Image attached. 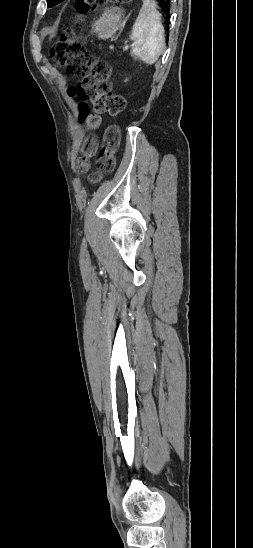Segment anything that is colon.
Here are the masks:
<instances>
[{"label": "colon", "instance_id": "1", "mask_svg": "<svg viewBox=\"0 0 253 548\" xmlns=\"http://www.w3.org/2000/svg\"><path fill=\"white\" fill-rule=\"evenodd\" d=\"M106 0H75L82 12H88L104 3ZM50 56L56 64L66 69L70 74L81 77L80 82L70 90V95L77 96L81 103L78 107L79 118L89 126H97L100 114L112 116L122 113L126 106L125 98L112 91L110 83V68L103 61H96L86 47L66 35L56 41L50 49ZM88 102L93 106L91 114ZM121 134L117 126H110L104 134V145L98 154V173L91 175L92 181H97L101 174L111 172L116 163V152L120 145ZM96 150V142L88 138L83 146L82 155L76 163L80 172L88 170V157Z\"/></svg>", "mask_w": 253, "mask_h": 548}]
</instances>
